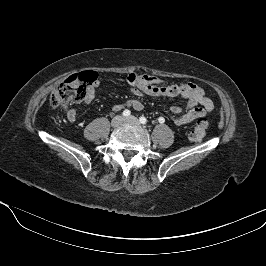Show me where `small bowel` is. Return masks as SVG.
<instances>
[{"instance_id":"small-bowel-1","label":"small bowel","mask_w":266,"mask_h":266,"mask_svg":"<svg viewBox=\"0 0 266 266\" xmlns=\"http://www.w3.org/2000/svg\"><path fill=\"white\" fill-rule=\"evenodd\" d=\"M132 92L138 96H166L181 97L186 99L185 107L174 105L170 108L171 120L175 126H185L197 119H203L213 108V102L209 99L202 88L191 82L180 84H168L165 80L155 75L130 73L125 79ZM99 82L95 81L88 89L85 103H91L95 98V90ZM133 108L141 110L143 103L139 99H129L123 104L113 105L114 111H120L123 108ZM182 111L183 114L179 115ZM67 119L73 123L76 120L77 111L72 108L67 110Z\"/></svg>"}]
</instances>
